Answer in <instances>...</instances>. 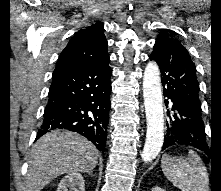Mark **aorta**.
<instances>
[{"instance_id":"762f6f07","label":"aorta","mask_w":221,"mask_h":191,"mask_svg":"<svg viewBox=\"0 0 221 191\" xmlns=\"http://www.w3.org/2000/svg\"><path fill=\"white\" fill-rule=\"evenodd\" d=\"M143 97L147 121L146 141L142 159L150 162L159 154L164 141V114L160 70L156 62H149L144 71Z\"/></svg>"}]
</instances>
